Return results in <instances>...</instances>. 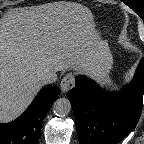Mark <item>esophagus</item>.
Listing matches in <instances>:
<instances>
[{"label": "esophagus", "instance_id": "34e87169", "mask_svg": "<svg viewBox=\"0 0 144 144\" xmlns=\"http://www.w3.org/2000/svg\"><path fill=\"white\" fill-rule=\"evenodd\" d=\"M75 87V77L73 74H67L60 83V88L63 93H67Z\"/></svg>", "mask_w": 144, "mask_h": 144}]
</instances>
